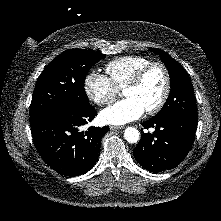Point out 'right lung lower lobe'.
Returning a JSON list of instances; mask_svg holds the SVG:
<instances>
[{
	"mask_svg": "<svg viewBox=\"0 0 221 221\" xmlns=\"http://www.w3.org/2000/svg\"><path fill=\"white\" fill-rule=\"evenodd\" d=\"M96 114L91 105L85 109H60L31 124L35 147L53 170L72 177L92 169L100 153V140L109 128L80 131V127Z\"/></svg>",
	"mask_w": 221,
	"mask_h": 221,
	"instance_id": "obj_1",
	"label": "right lung lower lobe"
}]
</instances>
